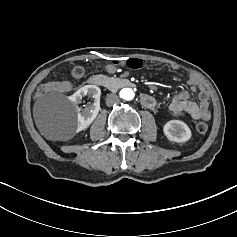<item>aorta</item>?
I'll return each mask as SVG.
<instances>
[{
    "label": "aorta",
    "instance_id": "1",
    "mask_svg": "<svg viewBox=\"0 0 237 237\" xmlns=\"http://www.w3.org/2000/svg\"><path fill=\"white\" fill-rule=\"evenodd\" d=\"M134 91L131 88H123L120 91V97L124 100H132L134 98Z\"/></svg>",
    "mask_w": 237,
    "mask_h": 237
}]
</instances>
